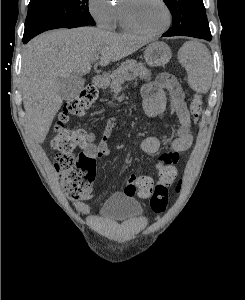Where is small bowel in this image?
I'll use <instances>...</instances> for the list:
<instances>
[{
	"label": "small bowel",
	"instance_id": "obj_1",
	"mask_svg": "<svg viewBox=\"0 0 245 300\" xmlns=\"http://www.w3.org/2000/svg\"><path fill=\"white\" fill-rule=\"evenodd\" d=\"M184 92L177 79L169 73H161L154 81L146 82L141 88L142 109L146 116L154 118L162 114L166 108L178 120L179 126L175 137L168 143L169 152L160 155L155 162V168L159 172L158 181L154 184L155 190L171 188L177 179L175 164L178 162L179 153L188 150L193 143L192 123L185 102ZM116 125V118H110L106 122L102 139L97 144L93 132L86 135L83 152L87 157L95 160L110 155L108 139ZM163 145L160 138L148 136L140 142V149L146 154L157 153ZM138 176L132 174L124 188V194L133 197L136 193ZM93 195L88 192L81 199L74 201L75 209L80 213L88 210L86 201Z\"/></svg>",
	"mask_w": 245,
	"mask_h": 300
}]
</instances>
